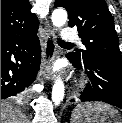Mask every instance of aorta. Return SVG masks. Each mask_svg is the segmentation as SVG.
Returning <instances> with one entry per match:
<instances>
[{"label": "aorta", "mask_w": 122, "mask_h": 123, "mask_svg": "<svg viewBox=\"0 0 122 123\" xmlns=\"http://www.w3.org/2000/svg\"><path fill=\"white\" fill-rule=\"evenodd\" d=\"M52 23L55 27L63 26L67 21V12L64 9H55L51 17ZM65 87L63 81L58 78L52 88V101L55 105L60 104L64 98Z\"/></svg>", "instance_id": "762f6f07"}]
</instances>
